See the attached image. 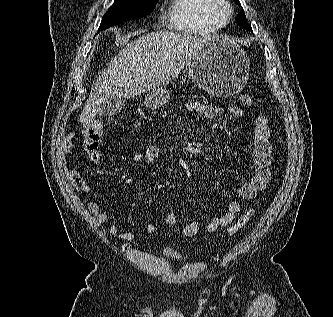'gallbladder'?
<instances>
[{
  "instance_id": "obj_1",
  "label": "gallbladder",
  "mask_w": 333,
  "mask_h": 317,
  "mask_svg": "<svg viewBox=\"0 0 333 317\" xmlns=\"http://www.w3.org/2000/svg\"><path fill=\"white\" fill-rule=\"evenodd\" d=\"M125 104V98L119 96H113L105 100L99 109V115L111 116L120 113Z\"/></svg>"
}]
</instances>
